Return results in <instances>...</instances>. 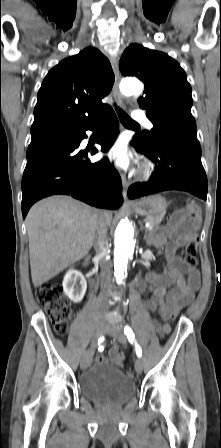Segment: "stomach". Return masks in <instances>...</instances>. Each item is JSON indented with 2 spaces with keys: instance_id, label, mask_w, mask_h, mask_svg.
<instances>
[{
  "instance_id": "stomach-1",
  "label": "stomach",
  "mask_w": 221,
  "mask_h": 448,
  "mask_svg": "<svg viewBox=\"0 0 221 448\" xmlns=\"http://www.w3.org/2000/svg\"><path fill=\"white\" fill-rule=\"evenodd\" d=\"M130 208L140 215L155 217L166 213L167 202L160 195H152L135 201Z\"/></svg>"
}]
</instances>
